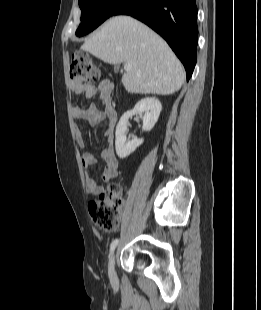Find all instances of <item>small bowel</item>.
I'll use <instances>...</instances> for the list:
<instances>
[{
    "label": "small bowel",
    "mask_w": 261,
    "mask_h": 310,
    "mask_svg": "<svg viewBox=\"0 0 261 310\" xmlns=\"http://www.w3.org/2000/svg\"><path fill=\"white\" fill-rule=\"evenodd\" d=\"M72 91L75 94H84L87 98L98 97L103 105V110H100L95 104H91L87 108L73 107L72 115L75 119H83L88 121L91 126H96L108 119V125L104 132L107 145L101 152V159L105 163V169L102 174V179L105 182L117 177L119 169V161L114 151V128L116 121L113 119L115 110L112 107L110 92V83L107 80L101 81L96 86H73ZM75 137L78 144L84 146V138L81 129L75 127ZM83 168L87 171L90 167L97 163V158L90 152H84L81 157ZM85 183L87 191L91 194L97 195L102 193L103 188L99 186L96 181L85 173Z\"/></svg>",
    "instance_id": "c3829d8e"
}]
</instances>
